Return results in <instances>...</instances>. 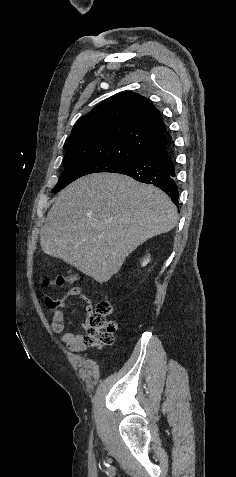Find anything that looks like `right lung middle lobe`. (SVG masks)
<instances>
[{"instance_id": "right-lung-middle-lobe-1", "label": "right lung middle lobe", "mask_w": 236, "mask_h": 477, "mask_svg": "<svg viewBox=\"0 0 236 477\" xmlns=\"http://www.w3.org/2000/svg\"><path fill=\"white\" fill-rule=\"evenodd\" d=\"M141 157L132 158L133 162ZM64 172L62 173L56 187L52 192H58L79 177L91 173L115 172L119 168L127 165L125 161L115 160L106 157L80 158L64 161Z\"/></svg>"}]
</instances>
